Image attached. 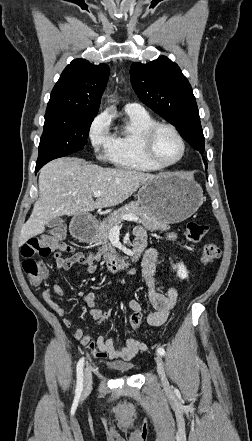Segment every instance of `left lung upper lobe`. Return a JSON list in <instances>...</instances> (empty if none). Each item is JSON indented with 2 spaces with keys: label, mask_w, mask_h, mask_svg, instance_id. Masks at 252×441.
Listing matches in <instances>:
<instances>
[{
  "label": "left lung upper lobe",
  "mask_w": 252,
  "mask_h": 441,
  "mask_svg": "<svg viewBox=\"0 0 252 441\" xmlns=\"http://www.w3.org/2000/svg\"><path fill=\"white\" fill-rule=\"evenodd\" d=\"M131 83L139 99L172 123L195 150L204 152V135L192 88L178 65L165 56L133 63ZM205 167L207 162L204 159Z\"/></svg>",
  "instance_id": "1"
}]
</instances>
